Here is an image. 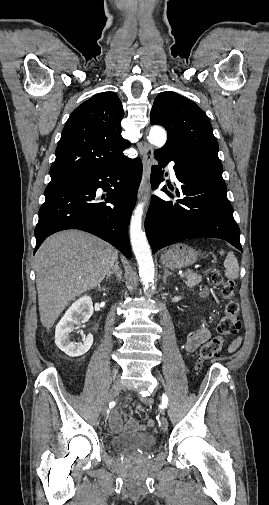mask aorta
Wrapping results in <instances>:
<instances>
[{"instance_id": "aorta-1", "label": "aorta", "mask_w": 269, "mask_h": 505, "mask_svg": "<svg viewBox=\"0 0 269 505\" xmlns=\"http://www.w3.org/2000/svg\"><path fill=\"white\" fill-rule=\"evenodd\" d=\"M148 140L156 148H161L166 143L167 133L164 128L153 126L149 131ZM143 210L144 203H139L133 211L130 222V239L139 266L141 281L144 286H149L154 283L155 268L150 246L142 231Z\"/></svg>"}]
</instances>
